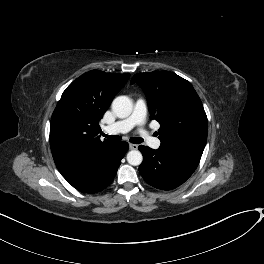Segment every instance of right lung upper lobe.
<instances>
[{
  "label": "right lung upper lobe",
  "mask_w": 264,
  "mask_h": 264,
  "mask_svg": "<svg viewBox=\"0 0 264 264\" xmlns=\"http://www.w3.org/2000/svg\"><path fill=\"white\" fill-rule=\"evenodd\" d=\"M130 74L92 70L63 92L51 118L50 147L69 182L93 171L115 142L100 140L99 121Z\"/></svg>",
  "instance_id": "obj_1"
}]
</instances>
